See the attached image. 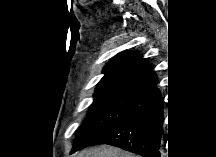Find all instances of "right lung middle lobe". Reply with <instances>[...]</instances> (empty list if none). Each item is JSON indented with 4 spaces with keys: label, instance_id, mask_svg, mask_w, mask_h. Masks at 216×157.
Instances as JSON below:
<instances>
[{
    "label": "right lung middle lobe",
    "instance_id": "dd1d6c3e",
    "mask_svg": "<svg viewBox=\"0 0 216 157\" xmlns=\"http://www.w3.org/2000/svg\"><path fill=\"white\" fill-rule=\"evenodd\" d=\"M135 91L118 90L94 97L88 115L76 136L71 152L92 145L123 116Z\"/></svg>",
    "mask_w": 216,
    "mask_h": 157
}]
</instances>
